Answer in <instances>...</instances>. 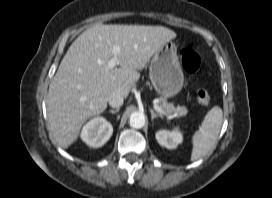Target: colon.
<instances>
[{"label": "colon", "mask_w": 272, "mask_h": 198, "mask_svg": "<svg viewBox=\"0 0 272 198\" xmlns=\"http://www.w3.org/2000/svg\"><path fill=\"white\" fill-rule=\"evenodd\" d=\"M180 60L183 68L189 74H197L201 71V60L199 55L189 47L180 50ZM197 99L201 104H208L211 100V93L207 88H200L197 91Z\"/></svg>", "instance_id": "colon-1"}]
</instances>
